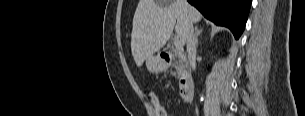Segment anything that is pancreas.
<instances>
[{
  "instance_id": "cf45deb5",
  "label": "pancreas",
  "mask_w": 305,
  "mask_h": 116,
  "mask_svg": "<svg viewBox=\"0 0 305 116\" xmlns=\"http://www.w3.org/2000/svg\"><path fill=\"white\" fill-rule=\"evenodd\" d=\"M180 53V50L174 51V59L179 58V62L174 63L178 77H182L185 73V66L183 65V60L180 58Z\"/></svg>"
}]
</instances>
